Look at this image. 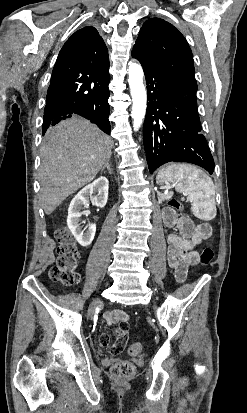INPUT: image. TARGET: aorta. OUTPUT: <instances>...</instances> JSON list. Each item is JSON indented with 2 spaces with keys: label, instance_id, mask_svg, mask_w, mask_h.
Returning <instances> with one entry per match:
<instances>
[{
  "label": "aorta",
  "instance_id": "762f6f07",
  "mask_svg": "<svg viewBox=\"0 0 247 413\" xmlns=\"http://www.w3.org/2000/svg\"><path fill=\"white\" fill-rule=\"evenodd\" d=\"M128 67V82L132 96V112L134 130H138L145 118L147 93L143 84V69L140 64L130 62Z\"/></svg>",
  "mask_w": 247,
  "mask_h": 413
}]
</instances>
